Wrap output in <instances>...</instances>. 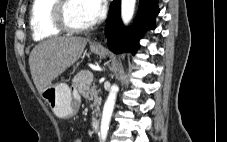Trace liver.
<instances>
[{
  "label": "liver",
  "mask_w": 227,
  "mask_h": 142,
  "mask_svg": "<svg viewBox=\"0 0 227 142\" xmlns=\"http://www.w3.org/2000/svg\"><path fill=\"white\" fill-rule=\"evenodd\" d=\"M88 40L60 36L37 44L30 53L29 65L33 82L41 94L60 74L82 55Z\"/></svg>",
  "instance_id": "liver-1"
}]
</instances>
